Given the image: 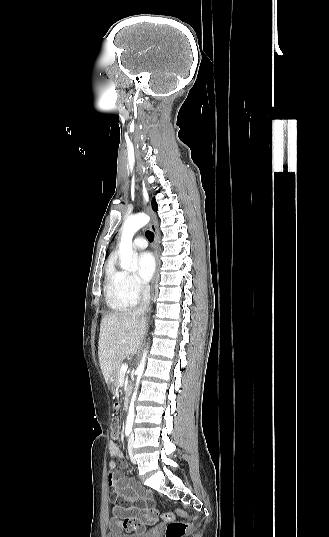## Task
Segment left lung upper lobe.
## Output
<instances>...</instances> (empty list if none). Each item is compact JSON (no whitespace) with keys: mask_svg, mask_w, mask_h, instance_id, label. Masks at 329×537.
Listing matches in <instances>:
<instances>
[{"mask_svg":"<svg viewBox=\"0 0 329 537\" xmlns=\"http://www.w3.org/2000/svg\"><path fill=\"white\" fill-rule=\"evenodd\" d=\"M152 203H153V208H154V210H157V209H158V205H157V203L155 202V198H153Z\"/></svg>","mask_w":329,"mask_h":537,"instance_id":"left-lung-upper-lobe-1","label":"left lung upper lobe"}]
</instances>
